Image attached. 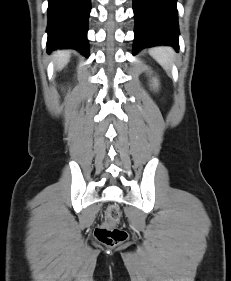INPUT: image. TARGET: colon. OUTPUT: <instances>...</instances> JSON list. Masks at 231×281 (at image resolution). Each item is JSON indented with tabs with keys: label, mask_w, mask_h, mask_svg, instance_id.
<instances>
[{
	"label": "colon",
	"mask_w": 231,
	"mask_h": 281,
	"mask_svg": "<svg viewBox=\"0 0 231 281\" xmlns=\"http://www.w3.org/2000/svg\"><path fill=\"white\" fill-rule=\"evenodd\" d=\"M121 212L118 206L111 205L104 214L102 223L96 228L95 236L106 246H116L127 239V232L119 227Z\"/></svg>",
	"instance_id": "1"
}]
</instances>
